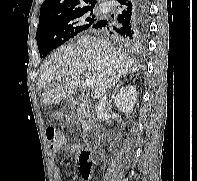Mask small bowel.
<instances>
[{
  "label": "small bowel",
  "instance_id": "small-bowel-1",
  "mask_svg": "<svg viewBox=\"0 0 197 181\" xmlns=\"http://www.w3.org/2000/svg\"><path fill=\"white\" fill-rule=\"evenodd\" d=\"M79 149H80L79 145H67V146L64 147L63 152L65 154H71V153H74V152L78 151ZM59 150H57V151L54 150V152L51 155L52 159H55V152H58ZM55 175L57 177L60 176V169L58 167L55 168Z\"/></svg>",
  "mask_w": 197,
  "mask_h": 181
}]
</instances>
